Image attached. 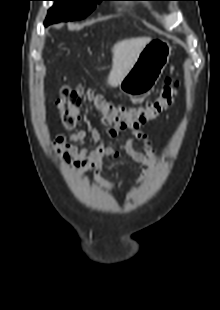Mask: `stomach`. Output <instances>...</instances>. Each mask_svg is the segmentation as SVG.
I'll list each match as a JSON object with an SVG mask.
<instances>
[{
    "label": "stomach",
    "instance_id": "1",
    "mask_svg": "<svg viewBox=\"0 0 220 310\" xmlns=\"http://www.w3.org/2000/svg\"><path fill=\"white\" fill-rule=\"evenodd\" d=\"M171 46L163 39L151 40L141 51L136 62L120 81L119 88L129 97L148 94L157 84L169 62Z\"/></svg>",
    "mask_w": 220,
    "mask_h": 310
}]
</instances>
